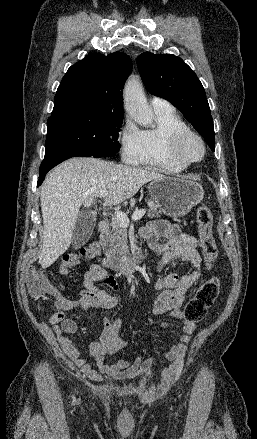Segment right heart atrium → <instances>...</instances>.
<instances>
[{
	"label": "right heart atrium",
	"instance_id": "d8ad5b80",
	"mask_svg": "<svg viewBox=\"0 0 257 439\" xmlns=\"http://www.w3.org/2000/svg\"><path fill=\"white\" fill-rule=\"evenodd\" d=\"M121 158L126 163H133L141 148V131L130 118H126L119 132Z\"/></svg>",
	"mask_w": 257,
	"mask_h": 439
}]
</instances>
